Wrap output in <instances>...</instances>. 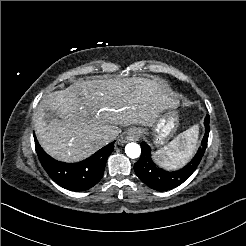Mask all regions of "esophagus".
Segmentation results:
<instances>
[{"label": "esophagus", "instance_id": "esophagus-1", "mask_svg": "<svg viewBox=\"0 0 246 246\" xmlns=\"http://www.w3.org/2000/svg\"><path fill=\"white\" fill-rule=\"evenodd\" d=\"M126 139L129 141H137L139 139V132L132 128L128 131Z\"/></svg>", "mask_w": 246, "mask_h": 246}]
</instances>
